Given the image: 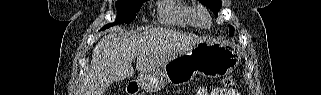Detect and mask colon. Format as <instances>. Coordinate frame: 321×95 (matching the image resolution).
<instances>
[{"mask_svg":"<svg viewBox=\"0 0 321 95\" xmlns=\"http://www.w3.org/2000/svg\"><path fill=\"white\" fill-rule=\"evenodd\" d=\"M223 84L226 86V87H234L237 85V81L236 79H234L233 77H226L224 78L223 80Z\"/></svg>","mask_w":321,"mask_h":95,"instance_id":"obj_1","label":"colon"}]
</instances>
